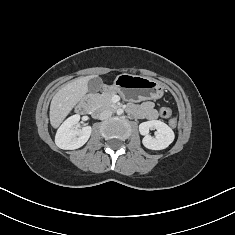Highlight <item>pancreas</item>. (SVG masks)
Listing matches in <instances>:
<instances>
[{
	"mask_svg": "<svg viewBox=\"0 0 235 235\" xmlns=\"http://www.w3.org/2000/svg\"><path fill=\"white\" fill-rule=\"evenodd\" d=\"M114 92L105 91L102 94H95L92 96V101L97 107L100 108H114L117 105L113 103L112 97L114 96Z\"/></svg>",
	"mask_w": 235,
	"mask_h": 235,
	"instance_id": "cf45deb5",
	"label": "pancreas"
}]
</instances>
